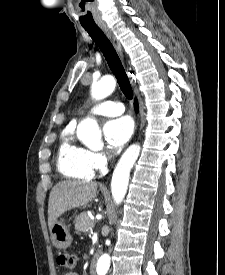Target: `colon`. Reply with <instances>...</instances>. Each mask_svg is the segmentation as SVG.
Wrapping results in <instances>:
<instances>
[{
    "mask_svg": "<svg viewBox=\"0 0 225 275\" xmlns=\"http://www.w3.org/2000/svg\"><path fill=\"white\" fill-rule=\"evenodd\" d=\"M59 266L66 269H73L76 265V255L72 252H62L57 257Z\"/></svg>",
    "mask_w": 225,
    "mask_h": 275,
    "instance_id": "colon-1",
    "label": "colon"
}]
</instances>
